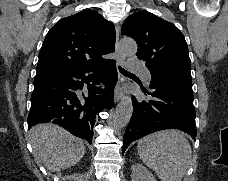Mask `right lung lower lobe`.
<instances>
[{
  "label": "right lung lower lobe",
  "instance_id": "98d812e1",
  "mask_svg": "<svg viewBox=\"0 0 228 181\" xmlns=\"http://www.w3.org/2000/svg\"><path fill=\"white\" fill-rule=\"evenodd\" d=\"M117 80L115 61L110 59L36 76L29 129L53 122L91 144L96 115L112 107Z\"/></svg>",
  "mask_w": 228,
  "mask_h": 181
}]
</instances>
